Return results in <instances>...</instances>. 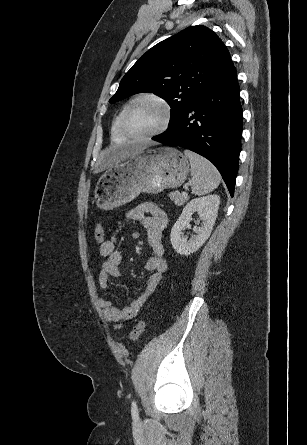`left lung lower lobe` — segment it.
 Returning <instances> with one entry per match:
<instances>
[{"label": "left lung lower lobe", "mask_w": 307, "mask_h": 445, "mask_svg": "<svg viewBox=\"0 0 307 445\" xmlns=\"http://www.w3.org/2000/svg\"><path fill=\"white\" fill-rule=\"evenodd\" d=\"M241 134L242 107L237 72L232 63L173 126L152 139L207 158L217 167L233 197Z\"/></svg>", "instance_id": "obj_1"}]
</instances>
